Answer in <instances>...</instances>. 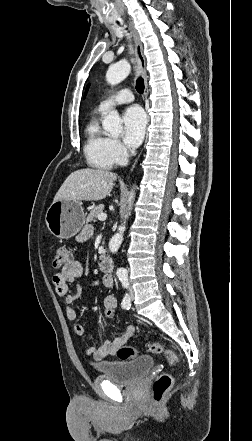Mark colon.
Here are the masks:
<instances>
[{
	"label": "colon",
	"instance_id": "obj_1",
	"mask_svg": "<svg viewBox=\"0 0 252 441\" xmlns=\"http://www.w3.org/2000/svg\"><path fill=\"white\" fill-rule=\"evenodd\" d=\"M72 260L71 253L65 247H59L56 249L53 260L51 263V267L53 270L62 269L69 264ZM115 309L111 304L103 306V311L101 317L103 320L107 321L114 317ZM147 350L153 354H159L165 356L170 366H173L177 363L178 358L174 352L165 348L162 344L157 342H150L147 344ZM116 355L120 359H130L137 356V350L133 347L123 346L121 347ZM172 385V377L168 372L161 373L153 384V399L156 402L162 400L164 395L170 389Z\"/></svg>",
	"mask_w": 252,
	"mask_h": 441
}]
</instances>
